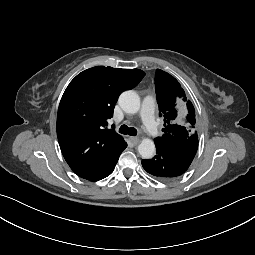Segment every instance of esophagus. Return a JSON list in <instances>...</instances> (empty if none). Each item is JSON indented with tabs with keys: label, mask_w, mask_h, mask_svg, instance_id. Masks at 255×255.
<instances>
[{
	"label": "esophagus",
	"mask_w": 255,
	"mask_h": 255,
	"mask_svg": "<svg viewBox=\"0 0 255 255\" xmlns=\"http://www.w3.org/2000/svg\"><path fill=\"white\" fill-rule=\"evenodd\" d=\"M130 141L132 142L133 145H137L140 140L137 137H130Z\"/></svg>",
	"instance_id": "34e87169"
}]
</instances>
